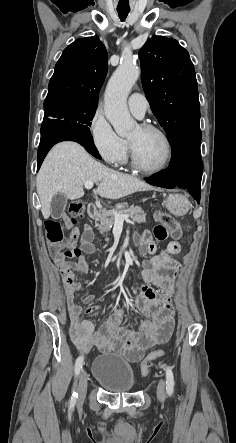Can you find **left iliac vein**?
I'll list each match as a JSON object with an SVG mask.
<instances>
[{
  "label": "left iliac vein",
  "instance_id": "4c4485c4",
  "mask_svg": "<svg viewBox=\"0 0 236 443\" xmlns=\"http://www.w3.org/2000/svg\"><path fill=\"white\" fill-rule=\"evenodd\" d=\"M157 398L161 403H163L165 400V382L163 379L159 380L157 386Z\"/></svg>",
  "mask_w": 236,
  "mask_h": 443
}]
</instances>
